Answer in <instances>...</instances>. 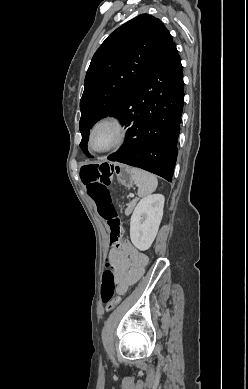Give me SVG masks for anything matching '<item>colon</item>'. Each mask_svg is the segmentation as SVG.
Returning a JSON list of instances; mask_svg holds the SVG:
<instances>
[{
    "label": "colon",
    "mask_w": 248,
    "mask_h": 389,
    "mask_svg": "<svg viewBox=\"0 0 248 389\" xmlns=\"http://www.w3.org/2000/svg\"><path fill=\"white\" fill-rule=\"evenodd\" d=\"M110 167V161H95L92 165L83 168L82 180L86 185L88 195L96 203L99 215L109 226L110 244L119 247L124 228L109 191L112 178ZM116 292L115 266L108 263L101 284V300L107 311L113 310L120 302V297L116 296Z\"/></svg>",
    "instance_id": "1"
}]
</instances>
